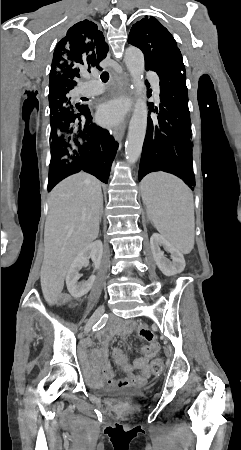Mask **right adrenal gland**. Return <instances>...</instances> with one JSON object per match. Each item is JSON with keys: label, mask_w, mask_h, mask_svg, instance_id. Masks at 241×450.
I'll return each mask as SVG.
<instances>
[{"label": "right adrenal gland", "mask_w": 241, "mask_h": 450, "mask_svg": "<svg viewBox=\"0 0 241 450\" xmlns=\"http://www.w3.org/2000/svg\"><path fill=\"white\" fill-rule=\"evenodd\" d=\"M102 214H103V212H101V216H102ZM101 216H100V218H101Z\"/></svg>", "instance_id": "2a0ac1e0"}]
</instances>
